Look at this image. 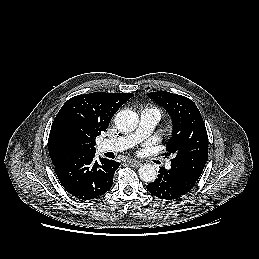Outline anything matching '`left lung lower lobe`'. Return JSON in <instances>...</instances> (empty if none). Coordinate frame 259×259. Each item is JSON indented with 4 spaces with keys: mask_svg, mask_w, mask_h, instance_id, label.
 <instances>
[{
    "mask_svg": "<svg viewBox=\"0 0 259 259\" xmlns=\"http://www.w3.org/2000/svg\"><path fill=\"white\" fill-rule=\"evenodd\" d=\"M197 180L184 169L171 164L169 170L160 168L158 178L146 188L156 197L174 200L187 194Z\"/></svg>",
    "mask_w": 259,
    "mask_h": 259,
    "instance_id": "left-lung-lower-lobe-1",
    "label": "left lung lower lobe"
}]
</instances>
